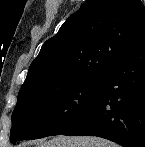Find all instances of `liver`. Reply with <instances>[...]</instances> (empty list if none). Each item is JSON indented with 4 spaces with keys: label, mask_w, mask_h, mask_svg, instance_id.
I'll list each match as a JSON object with an SVG mask.
<instances>
[{
    "label": "liver",
    "mask_w": 145,
    "mask_h": 147,
    "mask_svg": "<svg viewBox=\"0 0 145 147\" xmlns=\"http://www.w3.org/2000/svg\"><path fill=\"white\" fill-rule=\"evenodd\" d=\"M38 147H118V145L100 137L60 135L40 143Z\"/></svg>",
    "instance_id": "obj_1"
}]
</instances>
